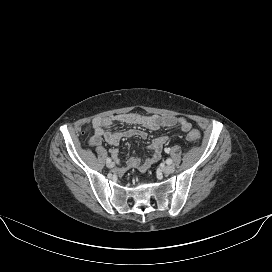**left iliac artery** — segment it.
<instances>
[{"instance_id":"left-iliac-artery-1","label":"left iliac artery","mask_w":272,"mask_h":272,"mask_svg":"<svg viewBox=\"0 0 272 272\" xmlns=\"http://www.w3.org/2000/svg\"><path fill=\"white\" fill-rule=\"evenodd\" d=\"M165 152H166V153H169V152H170V148H166V149H165ZM172 162H173V161H172V159H170V158H168V159L166 160V163H167L168 165L172 164Z\"/></svg>"}]
</instances>
